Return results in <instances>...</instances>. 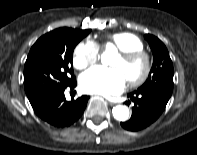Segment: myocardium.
<instances>
[{
    "label": "myocardium",
    "instance_id": "myocardium-1",
    "mask_svg": "<svg viewBox=\"0 0 197 155\" xmlns=\"http://www.w3.org/2000/svg\"><path fill=\"white\" fill-rule=\"evenodd\" d=\"M119 55L124 61L140 60L143 63L142 73L133 79L128 80L131 87H139L143 85L149 78L152 70V61L150 55L143 49L120 51Z\"/></svg>",
    "mask_w": 197,
    "mask_h": 155
}]
</instances>
